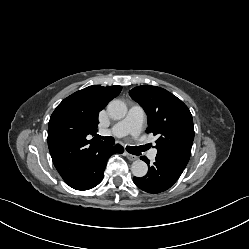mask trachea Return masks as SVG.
<instances>
[{
	"mask_svg": "<svg viewBox=\"0 0 249 249\" xmlns=\"http://www.w3.org/2000/svg\"><path fill=\"white\" fill-rule=\"evenodd\" d=\"M97 138H98V139H103V140H104V143H105V144H108V145H110V146L114 145V143H115V139H114L113 137H111V136L103 137V136L97 135ZM146 149H147L146 146H144V147H137V146L132 147V146H127V147H126V150H127L129 153L133 154V155H139L141 152L145 151Z\"/></svg>",
	"mask_w": 249,
	"mask_h": 249,
	"instance_id": "1",
	"label": "trachea"
}]
</instances>
